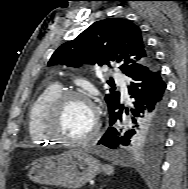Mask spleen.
Returning <instances> with one entry per match:
<instances>
[{"label":"spleen","instance_id":"obj_1","mask_svg":"<svg viewBox=\"0 0 188 189\" xmlns=\"http://www.w3.org/2000/svg\"><path fill=\"white\" fill-rule=\"evenodd\" d=\"M103 170L108 175H111L114 172V168L111 165H104Z\"/></svg>","mask_w":188,"mask_h":189}]
</instances>
